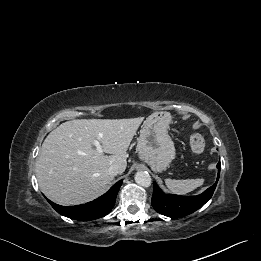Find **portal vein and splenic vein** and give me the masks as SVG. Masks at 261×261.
Returning a JSON list of instances; mask_svg holds the SVG:
<instances>
[{
    "instance_id": "portal-vein-and-splenic-vein-1",
    "label": "portal vein and splenic vein",
    "mask_w": 261,
    "mask_h": 261,
    "mask_svg": "<svg viewBox=\"0 0 261 261\" xmlns=\"http://www.w3.org/2000/svg\"><path fill=\"white\" fill-rule=\"evenodd\" d=\"M93 145H95L96 147V150L99 152V153H103V148L100 144V142L98 140H94L93 141Z\"/></svg>"
}]
</instances>
